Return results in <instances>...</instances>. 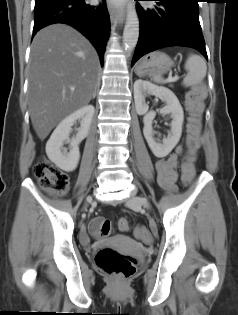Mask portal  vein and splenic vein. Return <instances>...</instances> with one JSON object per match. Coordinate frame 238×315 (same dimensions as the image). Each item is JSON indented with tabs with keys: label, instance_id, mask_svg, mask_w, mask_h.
I'll return each mask as SVG.
<instances>
[{
	"label": "portal vein and splenic vein",
	"instance_id": "1",
	"mask_svg": "<svg viewBox=\"0 0 238 315\" xmlns=\"http://www.w3.org/2000/svg\"><path fill=\"white\" fill-rule=\"evenodd\" d=\"M178 79H179V77H178L177 75H175L174 77H172L171 75H169L166 81H167V82H174V81H177ZM71 90L74 91L75 88L72 87Z\"/></svg>",
	"mask_w": 238,
	"mask_h": 315
}]
</instances>
